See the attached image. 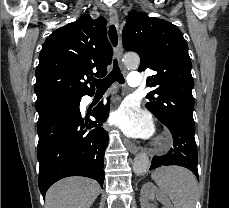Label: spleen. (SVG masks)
<instances>
[{
	"label": "spleen",
	"mask_w": 229,
	"mask_h": 208,
	"mask_svg": "<svg viewBox=\"0 0 229 208\" xmlns=\"http://www.w3.org/2000/svg\"><path fill=\"white\" fill-rule=\"evenodd\" d=\"M151 178L162 194L169 196L174 208H195L198 188L192 172L179 166H164L155 170Z\"/></svg>",
	"instance_id": "3e777b00"
}]
</instances>
